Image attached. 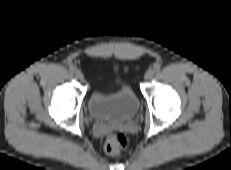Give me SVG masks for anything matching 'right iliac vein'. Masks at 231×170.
Wrapping results in <instances>:
<instances>
[{"mask_svg":"<svg viewBox=\"0 0 231 170\" xmlns=\"http://www.w3.org/2000/svg\"><path fill=\"white\" fill-rule=\"evenodd\" d=\"M75 77L80 81H84V75L80 70L75 71Z\"/></svg>","mask_w":231,"mask_h":170,"instance_id":"63e3f726","label":"right iliac vein"}]
</instances>
